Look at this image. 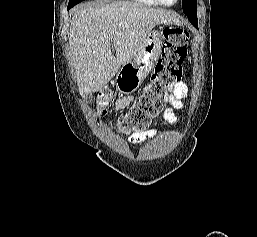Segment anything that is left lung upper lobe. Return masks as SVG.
<instances>
[{"mask_svg": "<svg viewBox=\"0 0 257 237\" xmlns=\"http://www.w3.org/2000/svg\"><path fill=\"white\" fill-rule=\"evenodd\" d=\"M182 8L190 22H197V3L196 0H182Z\"/></svg>", "mask_w": 257, "mask_h": 237, "instance_id": "obj_1", "label": "left lung upper lobe"}]
</instances>
